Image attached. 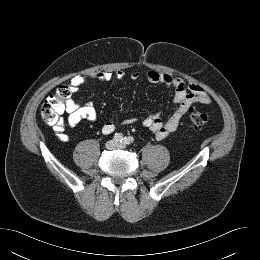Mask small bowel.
<instances>
[{
  "label": "small bowel",
  "instance_id": "c3829d8e",
  "mask_svg": "<svg viewBox=\"0 0 260 260\" xmlns=\"http://www.w3.org/2000/svg\"><path fill=\"white\" fill-rule=\"evenodd\" d=\"M145 76L149 82L163 84L169 88H172L174 91L173 103L176 105V109L168 119L162 120L160 112L153 111L143 120V126L150 130L159 140L167 138L178 128L183 116L188 112L192 105H207L212 102L210 94L202 86L196 83L188 82L183 78L158 71H148ZM124 77L125 73L122 70L96 71L73 76L70 79L69 85L70 89L76 90L86 82H105L112 78L121 80ZM130 78L132 80H138L140 78V73L134 71L130 74ZM66 112L68 114L67 124L70 127H75L82 120L96 121L98 117L97 110L93 105H81L73 99L68 100ZM130 122L131 120H126L124 121V124ZM115 129V123L106 122L103 124L101 131L104 135H108ZM57 132L62 140H68V136L64 133L63 123L57 126Z\"/></svg>",
  "mask_w": 260,
  "mask_h": 260
}]
</instances>
